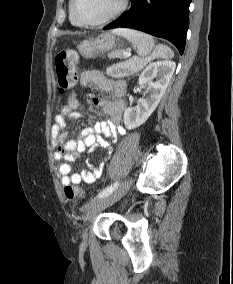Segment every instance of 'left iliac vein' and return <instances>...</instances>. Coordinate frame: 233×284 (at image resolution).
<instances>
[{"mask_svg": "<svg viewBox=\"0 0 233 284\" xmlns=\"http://www.w3.org/2000/svg\"><path fill=\"white\" fill-rule=\"evenodd\" d=\"M131 184V180L126 181L119 189L114 191L113 193L91 200L85 209V219L87 221L91 220L96 216L97 213L102 211L103 209L111 206L113 203L117 202L123 195L128 191ZM83 241H87V229L83 231L82 234Z\"/></svg>", "mask_w": 233, "mask_h": 284, "instance_id": "4c4485c4", "label": "left iliac vein"}]
</instances>
